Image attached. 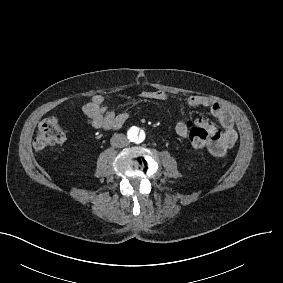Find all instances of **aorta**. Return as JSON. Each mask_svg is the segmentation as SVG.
<instances>
[{
    "label": "aorta",
    "instance_id": "1",
    "mask_svg": "<svg viewBox=\"0 0 283 283\" xmlns=\"http://www.w3.org/2000/svg\"><path fill=\"white\" fill-rule=\"evenodd\" d=\"M128 138L131 142L142 143L146 138V134L141 128L133 126L128 130Z\"/></svg>",
    "mask_w": 283,
    "mask_h": 283
}]
</instances>
